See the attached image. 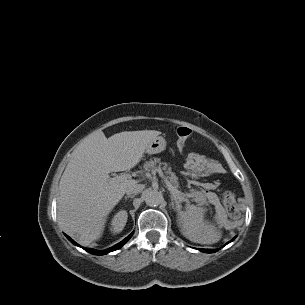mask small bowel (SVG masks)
<instances>
[{
    "mask_svg": "<svg viewBox=\"0 0 305 305\" xmlns=\"http://www.w3.org/2000/svg\"><path fill=\"white\" fill-rule=\"evenodd\" d=\"M208 165H209V167H210L211 169L214 168V166L212 165V163H209Z\"/></svg>",
    "mask_w": 305,
    "mask_h": 305,
    "instance_id": "obj_1",
    "label": "small bowel"
}]
</instances>
